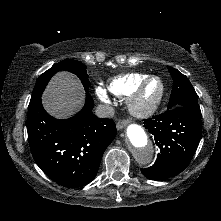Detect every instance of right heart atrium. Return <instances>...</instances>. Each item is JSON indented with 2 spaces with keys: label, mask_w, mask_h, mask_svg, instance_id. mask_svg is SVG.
<instances>
[{
  "label": "right heart atrium",
  "mask_w": 221,
  "mask_h": 221,
  "mask_svg": "<svg viewBox=\"0 0 221 221\" xmlns=\"http://www.w3.org/2000/svg\"><path fill=\"white\" fill-rule=\"evenodd\" d=\"M96 94L98 97L104 99L105 98V92L102 88L98 87L96 88Z\"/></svg>",
  "instance_id": "obj_1"
}]
</instances>
